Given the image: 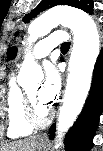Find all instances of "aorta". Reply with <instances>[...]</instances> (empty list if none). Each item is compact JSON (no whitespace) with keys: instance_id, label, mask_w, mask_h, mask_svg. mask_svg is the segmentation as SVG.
<instances>
[{"instance_id":"1","label":"aorta","mask_w":103,"mask_h":151,"mask_svg":"<svg viewBox=\"0 0 103 151\" xmlns=\"http://www.w3.org/2000/svg\"><path fill=\"white\" fill-rule=\"evenodd\" d=\"M59 24L69 27L74 34L69 74L57 126L58 138L61 140L63 133L73 125L86 101L94 65L99 55L100 41L96 24L88 14L70 7H54L30 23L29 44L47 35ZM35 70L40 68L29 53L22 64L19 77L25 78Z\"/></svg>"}]
</instances>
